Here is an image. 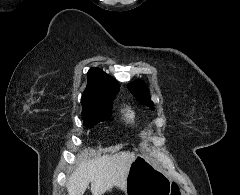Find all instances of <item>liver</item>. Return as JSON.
<instances>
[{"label":"liver","mask_w":240,"mask_h":195,"mask_svg":"<svg viewBox=\"0 0 240 195\" xmlns=\"http://www.w3.org/2000/svg\"><path fill=\"white\" fill-rule=\"evenodd\" d=\"M78 157L81 161L67 181L68 195H84L89 183L92 195H102L105 191H111L112 187L125 189L134 153L119 151L94 159H84L81 153Z\"/></svg>","instance_id":"liver-1"}]
</instances>
